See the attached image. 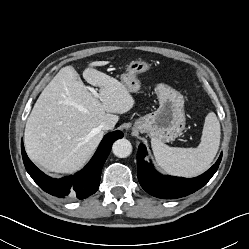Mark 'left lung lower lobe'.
I'll return each mask as SVG.
<instances>
[{
    "instance_id": "1",
    "label": "left lung lower lobe",
    "mask_w": 249,
    "mask_h": 249,
    "mask_svg": "<svg viewBox=\"0 0 249 249\" xmlns=\"http://www.w3.org/2000/svg\"><path fill=\"white\" fill-rule=\"evenodd\" d=\"M146 155L145 146L140 145L137 156L138 180L147 193L162 199L184 197L202 188L215 174L222 158L221 153L217 162L204 174L186 179L161 175L151 163L145 160Z\"/></svg>"
}]
</instances>
